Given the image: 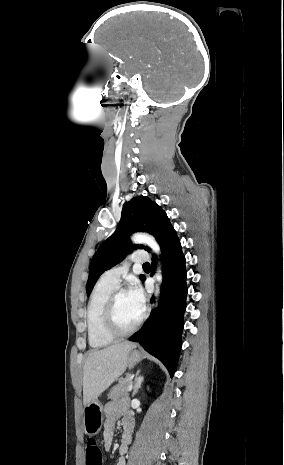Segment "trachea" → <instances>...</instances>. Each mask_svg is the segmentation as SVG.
<instances>
[{"label":"trachea","instance_id":"3493384b","mask_svg":"<svg viewBox=\"0 0 284 465\" xmlns=\"http://www.w3.org/2000/svg\"><path fill=\"white\" fill-rule=\"evenodd\" d=\"M143 268L144 269H150V264L147 262V263H144L143 264Z\"/></svg>","mask_w":284,"mask_h":465}]
</instances>
